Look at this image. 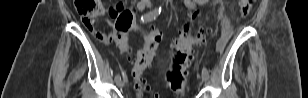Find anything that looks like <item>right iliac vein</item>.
<instances>
[{"mask_svg": "<svg viewBox=\"0 0 308 98\" xmlns=\"http://www.w3.org/2000/svg\"><path fill=\"white\" fill-rule=\"evenodd\" d=\"M116 84L120 86L122 84L121 77L115 80Z\"/></svg>", "mask_w": 308, "mask_h": 98, "instance_id": "1", "label": "right iliac vein"}]
</instances>
